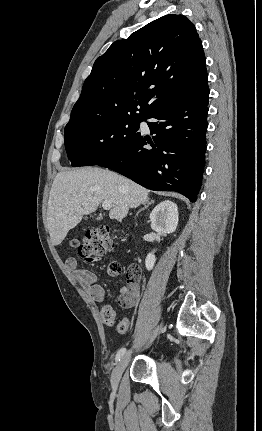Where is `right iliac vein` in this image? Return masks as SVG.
<instances>
[{
	"mask_svg": "<svg viewBox=\"0 0 262 431\" xmlns=\"http://www.w3.org/2000/svg\"><path fill=\"white\" fill-rule=\"evenodd\" d=\"M163 330V325H159L154 333L150 336L149 340L145 343V346L143 349L147 348L154 340V338ZM132 352L126 353L118 362L115 369L113 370L112 376H111V383L113 387H117L119 384V380L121 378L122 373L124 372L126 366L128 365L130 359H131Z\"/></svg>",
	"mask_w": 262,
	"mask_h": 431,
	"instance_id": "63e3f726",
	"label": "right iliac vein"
}]
</instances>
